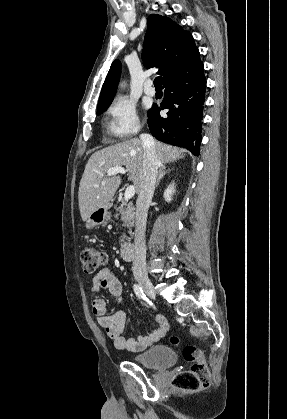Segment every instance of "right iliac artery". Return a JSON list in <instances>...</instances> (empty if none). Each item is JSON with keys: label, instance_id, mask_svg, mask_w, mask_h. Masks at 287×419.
Returning a JSON list of instances; mask_svg holds the SVG:
<instances>
[{"label": "right iliac artery", "instance_id": "1", "mask_svg": "<svg viewBox=\"0 0 287 419\" xmlns=\"http://www.w3.org/2000/svg\"><path fill=\"white\" fill-rule=\"evenodd\" d=\"M133 289H134V292H135V294L137 295L138 298H140V299L145 298V294L143 292V289L138 284H134Z\"/></svg>", "mask_w": 287, "mask_h": 419}]
</instances>
